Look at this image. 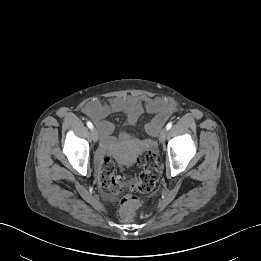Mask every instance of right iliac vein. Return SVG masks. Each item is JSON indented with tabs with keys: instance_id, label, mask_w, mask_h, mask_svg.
<instances>
[{
	"instance_id": "obj_1",
	"label": "right iliac vein",
	"mask_w": 261,
	"mask_h": 261,
	"mask_svg": "<svg viewBox=\"0 0 261 261\" xmlns=\"http://www.w3.org/2000/svg\"><path fill=\"white\" fill-rule=\"evenodd\" d=\"M98 137H99V134H98V131L96 128H92L91 130V138L94 142H97L98 141Z\"/></svg>"
}]
</instances>
